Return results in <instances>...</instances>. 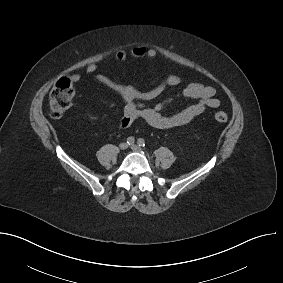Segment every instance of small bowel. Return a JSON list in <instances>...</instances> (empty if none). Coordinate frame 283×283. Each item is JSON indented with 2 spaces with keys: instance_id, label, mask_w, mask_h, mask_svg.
Here are the masks:
<instances>
[{
  "instance_id": "1",
  "label": "small bowel",
  "mask_w": 283,
  "mask_h": 283,
  "mask_svg": "<svg viewBox=\"0 0 283 283\" xmlns=\"http://www.w3.org/2000/svg\"><path fill=\"white\" fill-rule=\"evenodd\" d=\"M129 57L155 59L157 51L151 47L134 46L129 51L121 49L113 55V58L118 62H125ZM85 70L88 74L94 75L98 82L119 94L123 99L124 109L120 121V128L122 129L129 128L138 119L158 129L181 127L189 124L195 117L204 113L206 109L217 108L220 105V100L215 97L216 90L212 86L202 83H190L183 89L182 95L194 99L196 102L176 114L166 116L162 114V109L170 102V99L153 107L148 106L147 102L157 98L167 87L178 85L181 82L179 75L168 74L152 90L141 93L133 86L119 84L108 76L98 73L96 64L87 65ZM71 79L73 82H79L81 76L73 74Z\"/></svg>"
}]
</instances>
